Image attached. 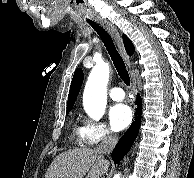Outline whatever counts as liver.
<instances>
[{
	"instance_id": "6515ba94",
	"label": "liver",
	"mask_w": 194,
	"mask_h": 178,
	"mask_svg": "<svg viewBox=\"0 0 194 178\" xmlns=\"http://www.w3.org/2000/svg\"><path fill=\"white\" fill-rule=\"evenodd\" d=\"M109 161L96 149L76 148L59 154L49 166L45 178H99L107 173Z\"/></svg>"
}]
</instances>
